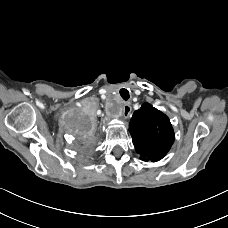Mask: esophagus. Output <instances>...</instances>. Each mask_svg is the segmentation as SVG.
I'll return each instance as SVG.
<instances>
[{
	"label": "esophagus",
	"mask_w": 228,
	"mask_h": 228,
	"mask_svg": "<svg viewBox=\"0 0 228 228\" xmlns=\"http://www.w3.org/2000/svg\"><path fill=\"white\" fill-rule=\"evenodd\" d=\"M132 107L129 103H125L123 106V115L129 117L131 115Z\"/></svg>",
	"instance_id": "obj_1"
}]
</instances>
